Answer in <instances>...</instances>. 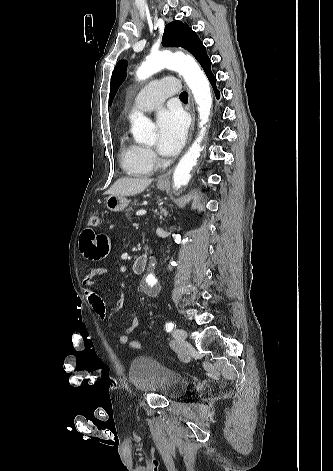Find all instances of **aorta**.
<instances>
[{
	"label": "aorta",
	"instance_id": "762f6f07",
	"mask_svg": "<svg viewBox=\"0 0 333 471\" xmlns=\"http://www.w3.org/2000/svg\"><path fill=\"white\" fill-rule=\"evenodd\" d=\"M163 68L177 71L185 80L192 91L199 112L200 132L189 150L181 158L173 174L174 187L180 188L188 184L191 178V170L200 157V143L205 136V125L209 121L212 107V96L207 77L196 61L185 55H179L167 50L152 53L137 69L136 78L145 80ZM132 133L137 142H153L156 138L154 124L142 114H136L132 119ZM147 291L151 292L157 280L150 272L147 275Z\"/></svg>",
	"mask_w": 333,
	"mask_h": 471
}]
</instances>
